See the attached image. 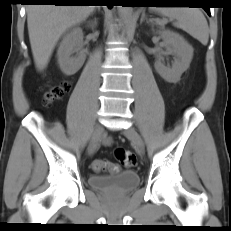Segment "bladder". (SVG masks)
<instances>
[{"label": "bladder", "instance_id": "31cf9c89", "mask_svg": "<svg viewBox=\"0 0 231 231\" xmlns=\"http://www.w3.org/2000/svg\"><path fill=\"white\" fill-rule=\"evenodd\" d=\"M139 175L134 171H124L113 175H91L88 185L105 194L124 195L139 184Z\"/></svg>", "mask_w": 231, "mask_h": 231}]
</instances>
